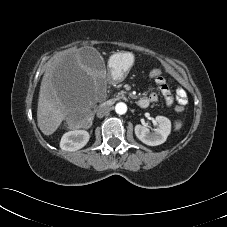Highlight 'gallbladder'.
Returning a JSON list of instances; mask_svg holds the SVG:
<instances>
[{
    "instance_id": "obj_1",
    "label": "gallbladder",
    "mask_w": 227,
    "mask_h": 227,
    "mask_svg": "<svg viewBox=\"0 0 227 227\" xmlns=\"http://www.w3.org/2000/svg\"><path fill=\"white\" fill-rule=\"evenodd\" d=\"M81 62L93 69L95 73H102L106 70V65L103 63V59L100 53L91 47H86L80 51Z\"/></svg>"
}]
</instances>
